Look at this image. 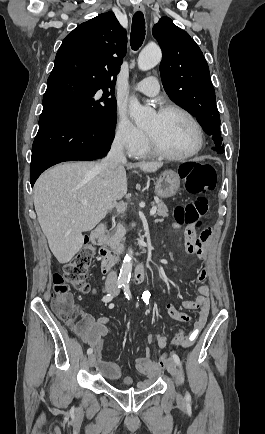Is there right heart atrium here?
Segmentation results:
<instances>
[{"label": "right heart atrium", "instance_id": "right-heart-atrium-1", "mask_svg": "<svg viewBox=\"0 0 265 434\" xmlns=\"http://www.w3.org/2000/svg\"><path fill=\"white\" fill-rule=\"evenodd\" d=\"M116 118L112 124L115 139L112 140L113 148H121L122 156L129 159L132 154H140L145 151L147 138L142 125H135L127 115L128 108L126 101H117ZM134 141L136 144L134 145Z\"/></svg>", "mask_w": 265, "mask_h": 434}]
</instances>
